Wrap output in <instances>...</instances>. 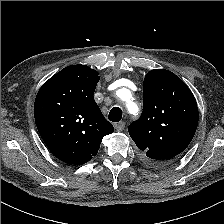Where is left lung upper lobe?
<instances>
[{"instance_id":"5c2ea615","label":"left lung upper lobe","mask_w":224,"mask_h":224,"mask_svg":"<svg viewBox=\"0 0 224 224\" xmlns=\"http://www.w3.org/2000/svg\"><path fill=\"white\" fill-rule=\"evenodd\" d=\"M197 123L198 107L188 86L168 70L149 71L142 114L128 127L144 159L153 165L173 163L191 142Z\"/></svg>"}]
</instances>
